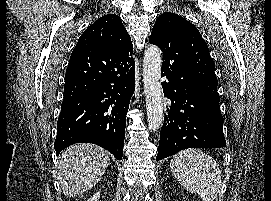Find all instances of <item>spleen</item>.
Returning <instances> with one entry per match:
<instances>
[{"mask_svg":"<svg viewBox=\"0 0 271 201\" xmlns=\"http://www.w3.org/2000/svg\"><path fill=\"white\" fill-rule=\"evenodd\" d=\"M170 169L177 181L188 192L197 194L202 201H214L222 186L218 163L196 148H188L174 155Z\"/></svg>","mask_w":271,"mask_h":201,"instance_id":"spleen-1","label":"spleen"}]
</instances>
